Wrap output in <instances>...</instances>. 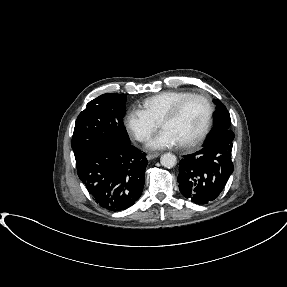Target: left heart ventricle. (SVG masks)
<instances>
[{
	"mask_svg": "<svg viewBox=\"0 0 287 287\" xmlns=\"http://www.w3.org/2000/svg\"><path fill=\"white\" fill-rule=\"evenodd\" d=\"M205 117L204 102L200 99H191L175 118L163 121L161 127L173 131L183 143L193 139L201 131Z\"/></svg>",
	"mask_w": 287,
	"mask_h": 287,
	"instance_id": "obj_1",
	"label": "left heart ventricle"
}]
</instances>
